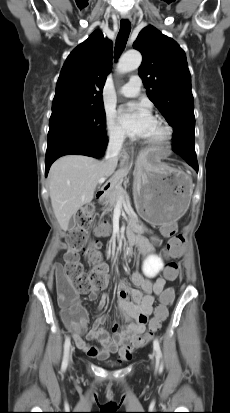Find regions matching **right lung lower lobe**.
I'll use <instances>...</instances> for the list:
<instances>
[{"label": "right lung lower lobe", "mask_w": 230, "mask_h": 413, "mask_svg": "<svg viewBox=\"0 0 230 413\" xmlns=\"http://www.w3.org/2000/svg\"><path fill=\"white\" fill-rule=\"evenodd\" d=\"M108 144V139L100 142H74L64 143L46 151L45 167L46 176L52 163L61 156L68 154L86 155L94 158H100L104 155Z\"/></svg>", "instance_id": "right-lung-lower-lobe-1"}]
</instances>
